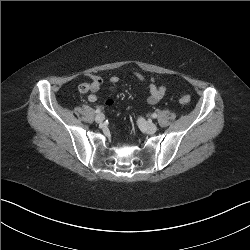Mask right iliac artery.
<instances>
[{"label":"right iliac artery","instance_id":"right-iliac-artery-1","mask_svg":"<svg viewBox=\"0 0 250 250\" xmlns=\"http://www.w3.org/2000/svg\"><path fill=\"white\" fill-rule=\"evenodd\" d=\"M95 112L99 114L101 112V109L97 108Z\"/></svg>","mask_w":250,"mask_h":250}]
</instances>
